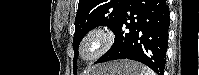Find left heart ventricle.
Returning a JSON list of instances; mask_svg holds the SVG:
<instances>
[{"mask_svg": "<svg viewBox=\"0 0 199 75\" xmlns=\"http://www.w3.org/2000/svg\"><path fill=\"white\" fill-rule=\"evenodd\" d=\"M98 49V43L96 41H90L84 46V55L90 56Z\"/></svg>", "mask_w": 199, "mask_h": 75, "instance_id": "1", "label": "left heart ventricle"}]
</instances>
